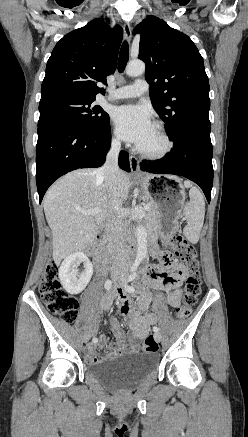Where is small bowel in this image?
<instances>
[{
    "label": "small bowel",
    "instance_id": "c3829d8e",
    "mask_svg": "<svg viewBox=\"0 0 248 437\" xmlns=\"http://www.w3.org/2000/svg\"><path fill=\"white\" fill-rule=\"evenodd\" d=\"M160 260L161 268H149L142 275V282L145 285L153 286L155 289H163L167 294V303L171 307H178L182 299V283L187 276V269L179 263L171 260V255L166 251L158 250L156 255ZM120 301L121 312L130 318L131 340L126 341L125 334L122 331L117 320H111V330L116 341L110 345L104 336H101L98 345L104 350L103 354L97 352L95 343L86 347V358L91 363H98L109 360L126 351H137L139 348L138 341L144 339L149 331L150 326L157 321L156 313H144L151 305L152 296L149 292L140 295L137 302V308H130V300L119 287H113L101 299L103 310H109L113 301Z\"/></svg>",
    "mask_w": 248,
    "mask_h": 437
}]
</instances>
